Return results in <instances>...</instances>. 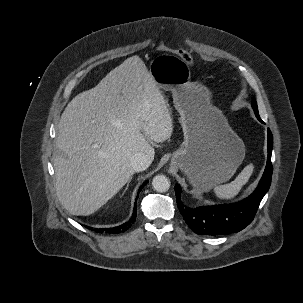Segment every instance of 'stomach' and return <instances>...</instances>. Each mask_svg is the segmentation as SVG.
Returning <instances> with one entry per match:
<instances>
[{
  "instance_id": "stomach-1",
  "label": "stomach",
  "mask_w": 303,
  "mask_h": 303,
  "mask_svg": "<svg viewBox=\"0 0 303 303\" xmlns=\"http://www.w3.org/2000/svg\"><path fill=\"white\" fill-rule=\"evenodd\" d=\"M149 73L158 88L172 92L180 114L184 142L173 153L171 165L184 172L200 191L227 182L244 160L245 145L211 104L209 89L191 82L188 64L174 55L155 57Z\"/></svg>"
}]
</instances>
